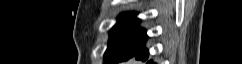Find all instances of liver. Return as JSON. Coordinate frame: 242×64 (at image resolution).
I'll return each instance as SVG.
<instances>
[{"instance_id":"obj_1","label":"liver","mask_w":242,"mask_h":64,"mask_svg":"<svg viewBox=\"0 0 242 64\" xmlns=\"http://www.w3.org/2000/svg\"><path fill=\"white\" fill-rule=\"evenodd\" d=\"M125 64H138L134 59H131L130 61H128Z\"/></svg>"}]
</instances>
